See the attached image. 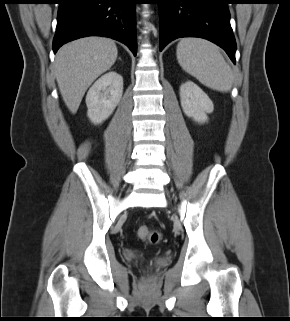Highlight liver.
Here are the masks:
<instances>
[{
	"instance_id": "obj_1",
	"label": "liver",
	"mask_w": 290,
	"mask_h": 321,
	"mask_svg": "<svg viewBox=\"0 0 290 321\" xmlns=\"http://www.w3.org/2000/svg\"><path fill=\"white\" fill-rule=\"evenodd\" d=\"M115 42L105 37H84L63 45L55 58V77L62 98L76 113L88 87L115 63Z\"/></svg>"
}]
</instances>
